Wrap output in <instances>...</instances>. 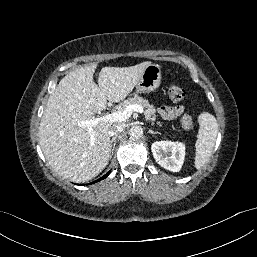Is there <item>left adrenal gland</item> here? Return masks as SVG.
Instances as JSON below:
<instances>
[{"label": "left adrenal gland", "instance_id": "obj_1", "mask_svg": "<svg viewBox=\"0 0 257 257\" xmlns=\"http://www.w3.org/2000/svg\"><path fill=\"white\" fill-rule=\"evenodd\" d=\"M148 132L151 134H159V132L152 131L151 129H148Z\"/></svg>", "mask_w": 257, "mask_h": 257}]
</instances>
